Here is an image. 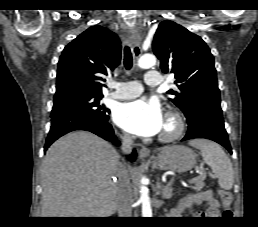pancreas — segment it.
<instances>
[{"label": "pancreas", "instance_id": "pancreas-1", "mask_svg": "<svg viewBox=\"0 0 258 227\" xmlns=\"http://www.w3.org/2000/svg\"><path fill=\"white\" fill-rule=\"evenodd\" d=\"M206 177V174H202L198 177V181L195 183V185L192 187L193 190L200 191L204 186V179Z\"/></svg>", "mask_w": 258, "mask_h": 227}]
</instances>
